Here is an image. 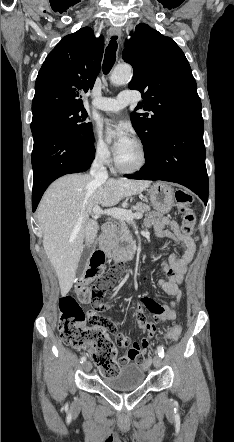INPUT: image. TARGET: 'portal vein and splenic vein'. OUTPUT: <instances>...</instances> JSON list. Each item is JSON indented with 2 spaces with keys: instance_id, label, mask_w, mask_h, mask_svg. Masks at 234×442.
Here are the masks:
<instances>
[{
  "instance_id": "1",
  "label": "portal vein and splenic vein",
  "mask_w": 234,
  "mask_h": 442,
  "mask_svg": "<svg viewBox=\"0 0 234 442\" xmlns=\"http://www.w3.org/2000/svg\"><path fill=\"white\" fill-rule=\"evenodd\" d=\"M92 211L96 216L104 214L128 222L132 221L133 219H141L143 217V215L139 212L133 213L131 210H126L122 208H110L102 210L98 205L94 206Z\"/></svg>"
}]
</instances>
